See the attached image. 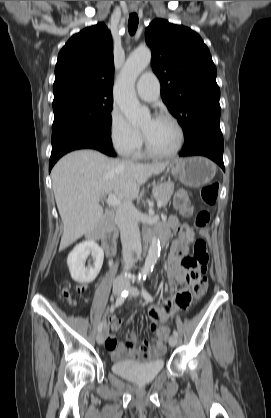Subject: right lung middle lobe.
I'll return each mask as SVG.
<instances>
[{
    "mask_svg": "<svg viewBox=\"0 0 271 418\" xmlns=\"http://www.w3.org/2000/svg\"><path fill=\"white\" fill-rule=\"evenodd\" d=\"M112 107V96H72L53 101L52 138L90 127L111 131Z\"/></svg>",
    "mask_w": 271,
    "mask_h": 418,
    "instance_id": "1",
    "label": "right lung middle lobe"
}]
</instances>
